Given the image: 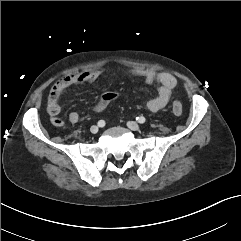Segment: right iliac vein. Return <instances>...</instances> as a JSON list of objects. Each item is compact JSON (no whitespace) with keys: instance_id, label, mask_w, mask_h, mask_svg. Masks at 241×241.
<instances>
[{"instance_id":"right-iliac-vein-1","label":"right iliac vein","mask_w":241,"mask_h":241,"mask_svg":"<svg viewBox=\"0 0 241 241\" xmlns=\"http://www.w3.org/2000/svg\"><path fill=\"white\" fill-rule=\"evenodd\" d=\"M90 131L92 134H96L98 132V127L96 125H94L90 128Z\"/></svg>"}]
</instances>
